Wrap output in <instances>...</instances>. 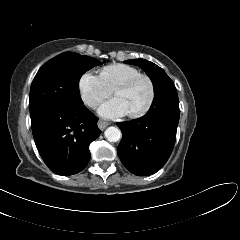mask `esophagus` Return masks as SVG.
Returning a JSON list of instances; mask_svg holds the SVG:
<instances>
[{
	"label": "esophagus",
	"instance_id": "1",
	"mask_svg": "<svg viewBox=\"0 0 240 240\" xmlns=\"http://www.w3.org/2000/svg\"><path fill=\"white\" fill-rule=\"evenodd\" d=\"M97 125L99 129L104 130L109 125V123L103 120H99Z\"/></svg>",
	"mask_w": 240,
	"mask_h": 240
}]
</instances>
